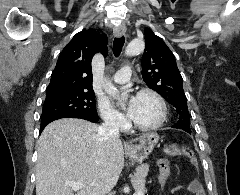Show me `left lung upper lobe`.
Masks as SVG:
<instances>
[{
    "instance_id": "1",
    "label": "left lung upper lobe",
    "mask_w": 240,
    "mask_h": 195,
    "mask_svg": "<svg viewBox=\"0 0 240 195\" xmlns=\"http://www.w3.org/2000/svg\"><path fill=\"white\" fill-rule=\"evenodd\" d=\"M145 41L146 47L142 56L143 80L175 108L179 120L173 127L191 133L183 79L175 57L163 40L149 28L145 29Z\"/></svg>"
}]
</instances>
